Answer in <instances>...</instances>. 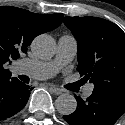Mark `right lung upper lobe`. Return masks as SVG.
I'll return each instance as SVG.
<instances>
[{
    "label": "right lung upper lobe",
    "mask_w": 125,
    "mask_h": 125,
    "mask_svg": "<svg viewBox=\"0 0 125 125\" xmlns=\"http://www.w3.org/2000/svg\"><path fill=\"white\" fill-rule=\"evenodd\" d=\"M62 18L63 14H35L12 6L0 7V78L11 75L5 63L27 52L37 35L57 28Z\"/></svg>",
    "instance_id": "cb5924a9"
}]
</instances>
